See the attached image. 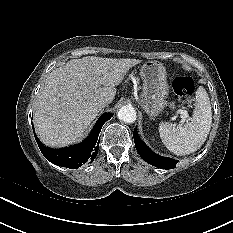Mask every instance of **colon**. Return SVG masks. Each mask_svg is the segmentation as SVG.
<instances>
[{
  "instance_id": "colon-1",
  "label": "colon",
  "mask_w": 233,
  "mask_h": 233,
  "mask_svg": "<svg viewBox=\"0 0 233 233\" xmlns=\"http://www.w3.org/2000/svg\"><path fill=\"white\" fill-rule=\"evenodd\" d=\"M194 87V80L190 76L177 75L173 81L174 92L181 102L190 100Z\"/></svg>"
}]
</instances>
